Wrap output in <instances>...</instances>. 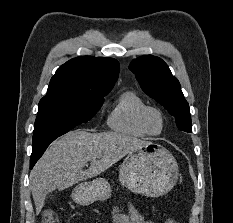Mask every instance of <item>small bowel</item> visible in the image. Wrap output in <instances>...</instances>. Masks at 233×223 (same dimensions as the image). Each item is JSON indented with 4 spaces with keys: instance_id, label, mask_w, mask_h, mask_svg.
Returning a JSON list of instances; mask_svg holds the SVG:
<instances>
[{
    "instance_id": "c3829d8e",
    "label": "small bowel",
    "mask_w": 233,
    "mask_h": 223,
    "mask_svg": "<svg viewBox=\"0 0 233 223\" xmlns=\"http://www.w3.org/2000/svg\"><path fill=\"white\" fill-rule=\"evenodd\" d=\"M112 223H153L145 218L132 204L116 206L112 212Z\"/></svg>"
}]
</instances>
